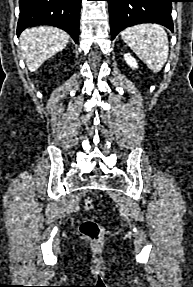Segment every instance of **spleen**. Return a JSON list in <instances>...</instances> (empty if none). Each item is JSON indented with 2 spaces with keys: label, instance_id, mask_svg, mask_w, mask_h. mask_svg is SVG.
I'll return each instance as SVG.
<instances>
[{
  "label": "spleen",
  "instance_id": "3e777b00",
  "mask_svg": "<svg viewBox=\"0 0 193 287\" xmlns=\"http://www.w3.org/2000/svg\"><path fill=\"white\" fill-rule=\"evenodd\" d=\"M121 35L126 45L150 70L161 71L169 53L167 33L161 25H136L126 28Z\"/></svg>",
  "mask_w": 193,
  "mask_h": 287
}]
</instances>
